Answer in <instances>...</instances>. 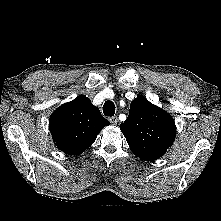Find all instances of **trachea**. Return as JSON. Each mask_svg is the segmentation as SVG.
<instances>
[{"mask_svg": "<svg viewBox=\"0 0 221 221\" xmlns=\"http://www.w3.org/2000/svg\"><path fill=\"white\" fill-rule=\"evenodd\" d=\"M103 113L105 116L111 117L115 114V105L112 101H106L103 105Z\"/></svg>", "mask_w": 221, "mask_h": 221, "instance_id": "3493384b", "label": "trachea"}]
</instances>
